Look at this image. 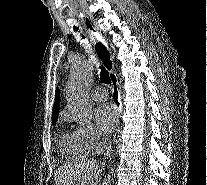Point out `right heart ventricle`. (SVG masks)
I'll return each mask as SVG.
<instances>
[{"label":"right heart ventricle","mask_w":207,"mask_h":185,"mask_svg":"<svg viewBox=\"0 0 207 185\" xmlns=\"http://www.w3.org/2000/svg\"><path fill=\"white\" fill-rule=\"evenodd\" d=\"M61 145L65 156L74 161L87 160L96 152L76 132L65 134Z\"/></svg>","instance_id":"e07e8e85"}]
</instances>
